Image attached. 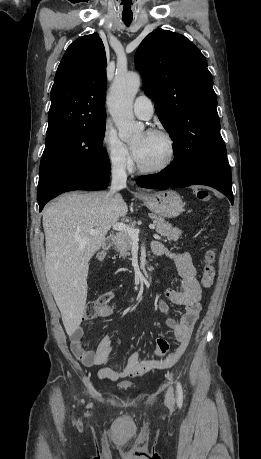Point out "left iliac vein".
Here are the masks:
<instances>
[{"label": "left iliac vein", "mask_w": 261, "mask_h": 459, "mask_svg": "<svg viewBox=\"0 0 261 459\" xmlns=\"http://www.w3.org/2000/svg\"><path fill=\"white\" fill-rule=\"evenodd\" d=\"M165 402L168 407H172L174 405V397H173V389L170 388L166 394Z\"/></svg>", "instance_id": "left-iliac-vein-1"}]
</instances>
